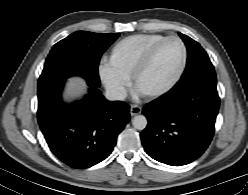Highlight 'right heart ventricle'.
<instances>
[{
    "mask_svg": "<svg viewBox=\"0 0 248 195\" xmlns=\"http://www.w3.org/2000/svg\"><path fill=\"white\" fill-rule=\"evenodd\" d=\"M165 37L163 34H146L122 41L112 56V67L126 78L132 77L149 52Z\"/></svg>",
    "mask_w": 248,
    "mask_h": 195,
    "instance_id": "obj_1",
    "label": "right heart ventricle"
}]
</instances>
